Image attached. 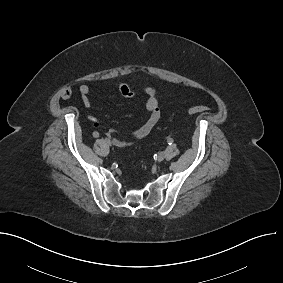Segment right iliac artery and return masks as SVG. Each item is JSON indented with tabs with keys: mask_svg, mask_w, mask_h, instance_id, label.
Segmentation results:
<instances>
[{
	"mask_svg": "<svg viewBox=\"0 0 283 283\" xmlns=\"http://www.w3.org/2000/svg\"><path fill=\"white\" fill-rule=\"evenodd\" d=\"M94 136H95V137H98V136H99V132H98V131H95V132H94Z\"/></svg>",
	"mask_w": 283,
	"mask_h": 283,
	"instance_id": "1",
	"label": "right iliac artery"
}]
</instances>
